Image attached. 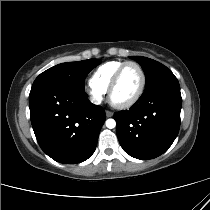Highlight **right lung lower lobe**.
Returning a JSON list of instances; mask_svg holds the SVG:
<instances>
[{
    "mask_svg": "<svg viewBox=\"0 0 210 210\" xmlns=\"http://www.w3.org/2000/svg\"><path fill=\"white\" fill-rule=\"evenodd\" d=\"M29 107L36 139L52 159L75 164L94 153L106 116L83 90L61 84L35 86Z\"/></svg>",
    "mask_w": 210,
    "mask_h": 210,
    "instance_id": "98d812e1",
    "label": "right lung lower lobe"
}]
</instances>
